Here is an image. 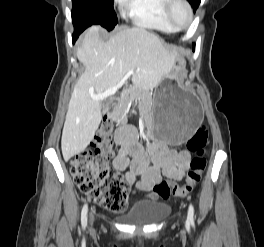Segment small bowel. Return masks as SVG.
<instances>
[{"instance_id": "small-bowel-1", "label": "small bowel", "mask_w": 264, "mask_h": 247, "mask_svg": "<svg viewBox=\"0 0 264 247\" xmlns=\"http://www.w3.org/2000/svg\"><path fill=\"white\" fill-rule=\"evenodd\" d=\"M138 139L137 129L129 125L120 126L115 132L119 150L113 165L119 171H126L129 185L138 191L151 192L162 177L172 181L183 179L190 164L188 151L171 149L159 140H154L146 150Z\"/></svg>"}]
</instances>
